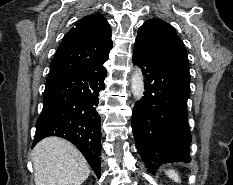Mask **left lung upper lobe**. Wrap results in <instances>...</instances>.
<instances>
[{
    "instance_id": "left-lung-upper-lobe-1",
    "label": "left lung upper lobe",
    "mask_w": 233,
    "mask_h": 185,
    "mask_svg": "<svg viewBox=\"0 0 233 185\" xmlns=\"http://www.w3.org/2000/svg\"><path fill=\"white\" fill-rule=\"evenodd\" d=\"M135 42L155 54L189 65L185 46L175 29L160 19L147 20L139 28Z\"/></svg>"
}]
</instances>
